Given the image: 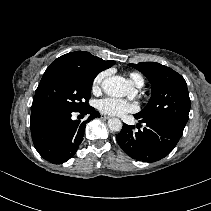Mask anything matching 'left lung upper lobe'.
I'll return each mask as SVG.
<instances>
[{
    "label": "left lung upper lobe",
    "instance_id": "5c2ea615",
    "mask_svg": "<svg viewBox=\"0 0 211 211\" xmlns=\"http://www.w3.org/2000/svg\"><path fill=\"white\" fill-rule=\"evenodd\" d=\"M129 66L142 72L150 81L152 94L147 106L137 117L162 119L184 130L190 111V98L184 78L171 68L156 62H141Z\"/></svg>",
    "mask_w": 211,
    "mask_h": 211
}]
</instances>
